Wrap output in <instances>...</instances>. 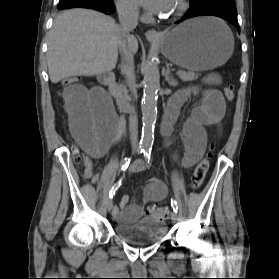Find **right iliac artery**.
Instances as JSON below:
<instances>
[{
    "instance_id": "right-iliac-artery-1",
    "label": "right iliac artery",
    "mask_w": 279,
    "mask_h": 279,
    "mask_svg": "<svg viewBox=\"0 0 279 279\" xmlns=\"http://www.w3.org/2000/svg\"><path fill=\"white\" fill-rule=\"evenodd\" d=\"M146 149V147L144 146H140L139 149H138V152L139 153H142L144 152ZM130 158L129 157H125L122 162H121V169L123 171H125L127 169V167L129 166V163H130ZM121 186V180H119L117 183L114 184V186L112 187V189L110 190L109 192V198L112 199L113 196L115 195L116 191L118 190V188Z\"/></svg>"
}]
</instances>
